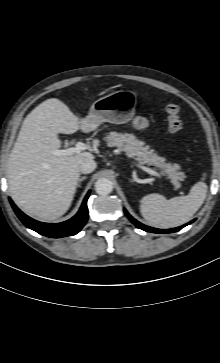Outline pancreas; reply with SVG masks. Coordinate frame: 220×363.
Wrapping results in <instances>:
<instances>
[{"label":"pancreas","instance_id":"obj_1","mask_svg":"<svg viewBox=\"0 0 220 363\" xmlns=\"http://www.w3.org/2000/svg\"><path fill=\"white\" fill-rule=\"evenodd\" d=\"M109 147H117L124 151L128 157L137 160L141 165L156 166L172 180L173 183L179 185V181L185 178L183 172L180 171L178 164L166 163L163 157L145 145L143 141L136 139L133 134L111 132L105 138Z\"/></svg>","mask_w":220,"mask_h":363}]
</instances>
